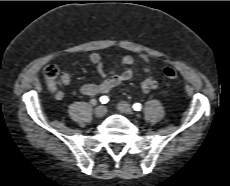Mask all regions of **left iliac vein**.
<instances>
[{
  "label": "left iliac vein",
  "instance_id": "4c4485c4",
  "mask_svg": "<svg viewBox=\"0 0 230 186\" xmlns=\"http://www.w3.org/2000/svg\"><path fill=\"white\" fill-rule=\"evenodd\" d=\"M117 108L124 114L133 115L134 113L131 105L124 101L119 102Z\"/></svg>",
  "mask_w": 230,
  "mask_h": 186
}]
</instances>
